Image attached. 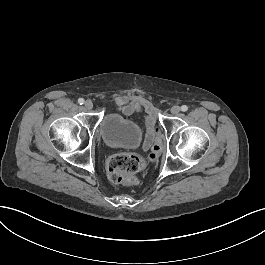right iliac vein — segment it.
I'll return each mask as SVG.
<instances>
[{"mask_svg":"<svg viewBox=\"0 0 265 265\" xmlns=\"http://www.w3.org/2000/svg\"><path fill=\"white\" fill-rule=\"evenodd\" d=\"M84 106L87 110L92 109L93 103L90 100L85 101Z\"/></svg>","mask_w":265,"mask_h":265,"instance_id":"63e3f726","label":"right iliac vein"}]
</instances>
